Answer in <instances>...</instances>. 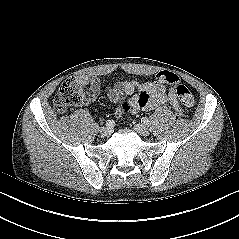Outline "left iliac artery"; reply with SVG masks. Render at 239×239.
Returning a JSON list of instances; mask_svg holds the SVG:
<instances>
[{"label":"left iliac artery","mask_w":239,"mask_h":239,"mask_svg":"<svg viewBox=\"0 0 239 239\" xmlns=\"http://www.w3.org/2000/svg\"><path fill=\"white\" fill-rule=\"evenodd\" d=\"M141 123L144 124V125H148L149 124V119L147 117H143L141 119Z\"/></svg>","instance_id":"44dca946"}]
</instances>
